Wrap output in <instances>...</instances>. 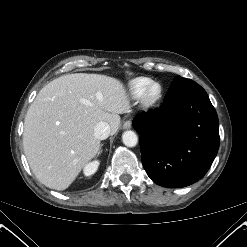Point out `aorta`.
I'll list each match as a JSON object with an SVG mask.
<instances>
[{
    "instance_id": "1",
    "label": "aorta",
    "mask_w": 247,
    "mask_h": 247,
    "mask_svg": "<svg viewBox=\"0 0 247 247\" xmlns=\"http://www.w3.org/2000/svg\"><path fill=\"white\" fill-rule=\"evenodd\" d=\"M122 141L127 147H134L138 143V137L135 132L128 130L122 134Z\"/></svg>"
}]
</instances>
